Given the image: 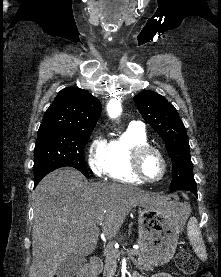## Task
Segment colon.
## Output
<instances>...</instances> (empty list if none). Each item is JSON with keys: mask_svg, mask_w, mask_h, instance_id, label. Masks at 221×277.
Here are the masks:
<instances>
[{"mask_svg": "<svg viewBox=\"0 0 221 277\" xmlns=\"http://www.w3.org/2000/svg\"><path fill=\"white\" fill-rule=\"evenodd\" d=\"M176 266L186 274H194L195 277H216L213 268L199 269L197 259L188 252L180 251L175 256Z\"/></svg>", "mask_w": 221, "mask_h": 277, "instance_id": "obj_1", "label": "colon"}]
</instances>
